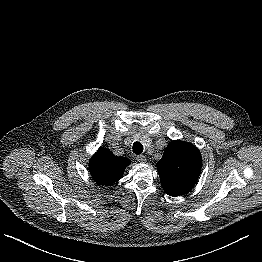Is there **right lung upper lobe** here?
Wrapping results in <instances>:
<instances>
[{
  "label": "right lung upper lobe",
  "mask_w": 262,
  "mask_h": 262,
  "mask_svg": "<svg viewBox=\"0 0 262 262\" xmlns=\"http://www.w3.org/2000/svg\"><path fill=\"white\" fill-rule=\"evenodd\" d=\"M131 161L115 156L109 149L100 147L89 162V171L98 185L108 186L123 177Z\"/></svg>",
  "instance_id": "cb5924a9"
}]
</instances>
